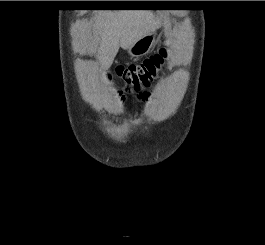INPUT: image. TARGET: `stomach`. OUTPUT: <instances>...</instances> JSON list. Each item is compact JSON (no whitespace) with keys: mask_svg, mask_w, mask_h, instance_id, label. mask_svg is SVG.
I'll return each instance as SVG.
<instances>
[{"mask_svg":"<svg viewBox=\"0 0 265 245\" xmlns=\"http://www.w3.org/2000/svg\"><path fill=\"white\" fill-rule=\"evenodd\" d=\"M155 43V33L151 32L135 42L127 51L132 57H140L146 55Z\"/></svg>","mask_w":265,"mask_h":245,"instance_id":"stomach-1","label":"stomach"}]
</instances>
